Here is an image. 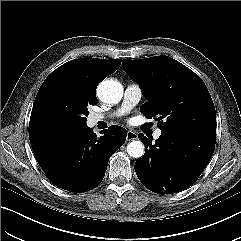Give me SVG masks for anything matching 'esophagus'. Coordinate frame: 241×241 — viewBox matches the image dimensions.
<instances>
[{
	"label": "esophagus",
	"mask_w": 241,
	"mask_h": 241,
	"mask_svg": "<svg viewBox=\"0 0 241 241\" xmlns=\"http://www.w3.org/2000/svg\"><path fill=\"white\" fill-rule=\"evenodd\" d=\"M126 139H127V141L136 140V139H138V135L134 131L129 130L127 132Z\"/></svg>",
	"instance_id": "1"
}]
</instances>
